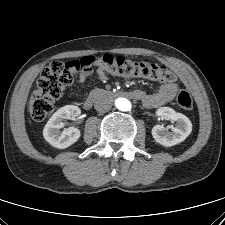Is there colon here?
I'll use <instances>...</instances> for the list:
<instances>
[{"mask_svg":"<svg viewBox=\"0 0 225 225\" xmlns=\"http://www.w3.org/2000/svg\"><path fill=\"white\" fill-rule=\"evenodd\" d=\"M92 66H98L106 73L117 76L141 77L163 83H172L176 79L174 73L164 66L149 62H132L111 54L86 56L67 63L53 61L42 71L30 97L29 111L32 118L41 121L53 112L55 101L72 82L71 70H83ZM177 103L184 110H191L193 107L190 94L183 89L177 92Z\"/></svg>","mask_w":225,"mask_h":225,"instance_id":"obj_1","label":"colon"}]
</instances>
